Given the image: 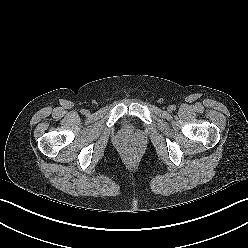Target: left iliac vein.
Returning <instances> with one entry per match:
<instances>
[{
  "label": "left iliac vein",
  "instance_id": "left-iliac-vein-1",
  "mask_svg": "<svg viewBox=\"0 0 248 248\" xmlns=\"http://www.w3.org/2000/svg\"><path fill=\"white\" fill-rule=\"evenodd\" d=\"M167 110H168L169 112H171V111H172V107L169 106V107L167 108Z\"/></svg>",
  "mask_w": 248,
  "mask_h": 248
}]
</instances>
